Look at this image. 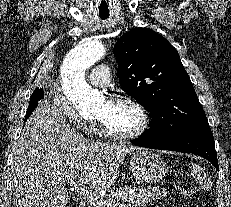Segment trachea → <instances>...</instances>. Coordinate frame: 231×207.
<instances>
[{
	"label": "trachea",
	"mask_w": 231,
	"mask_h": 207,
	"mask_svg": "<svg viewBox=\"0 0 231 207\" xmlns=\"http://www.w3.org/2000/svg\"><path fill=\"white\" fill-rule=\"evenodd\" d=\"M100 18H101V19H107L108 16H101V15H100Z\"/></svg>",
	"instance_id": "1"
}]
</instances>
